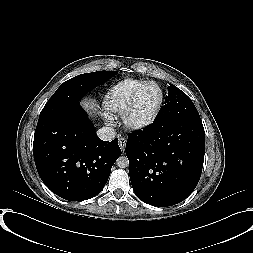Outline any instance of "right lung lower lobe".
Segmentation results:
<instances>
[{
    "label": "right lung lower lobe",
    "mask_w": 253,
    "mask_h": 253,
    "mask_svg": "<svg viewBox=\"0 0 253 253\" xmlns=\"http://www.w3.org/2000/svg\"><path fill=\"white\" fill-rule=\"evenodd\" d=\"M33 155L39 176L52 192L83 201L102 191L121 150L118 139L108 142L97 136L78 103L38 120Z\"/></svg>",
    "instance_id": "right-lung-lower-lobe-1"
}]
</instances>
